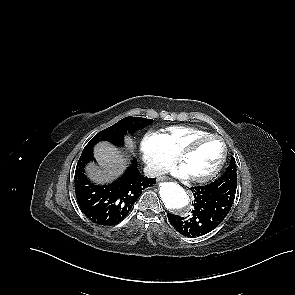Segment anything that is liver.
I'll list each match as a JSON object with an SVG mask.
<instances>
[{
  "label": "liver",
  "instance_id": "1",
  "mask_svg": "<svg viewBox=\"0 0 295 295\" xmlns=\"http://www.w3.org/2000/svg\"><path fill=\"white\" fill-rule=\"evenodd\" d=\"M126 147L132 151L134 143L126 138ZM94 155L102 170L94 164L87 166L88 176L97 183L109 181L120 175L125 169L127 161L123 155L108 142H100L94 148Z\"/></svg>",
  "mask_w": 295,
  "mask_h": 295
}]
</instances>
